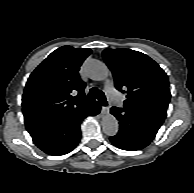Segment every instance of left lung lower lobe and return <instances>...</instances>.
<instances>
[{"instance_id":"0a47b994","label":"left lung lower lobe","mask_w":194,"mask_h":193,"mask_svg":"<svg viewBox=\"0 0 194 193\" xmlns=\"http://www.w3.org/2000/svg\"><path fill=\"white\" fill-rule=\"evenodd\" d=\"M111 113L118 119L120 128L117 135L110 137V141L122 150L135 151L146 147L162 125L124 108L112 107Z\"/></svg>"}]
</instances>
